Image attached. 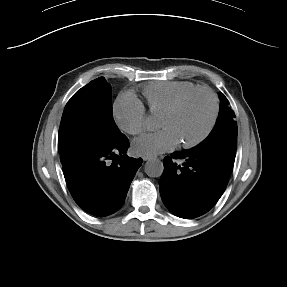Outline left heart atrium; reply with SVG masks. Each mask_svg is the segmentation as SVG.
I'll return each mask as SVG.
<instances>
[{"instance_id":"1","label":"left heart atrium","mask_w":287,"mask_h":287,"mask_svg":"<svg viewBox=\"0 0 287 287\" xmlns=\"http://www.w3.org/2000/svg\"><path fill=\"white\" fill-rule=\"evenodd\" d=\"M178 143L175 133L169 128H163L158 132L137 138L133 147L140 154L153 156L173 149Z\"/></svg>"}]
</instances>
